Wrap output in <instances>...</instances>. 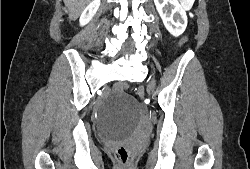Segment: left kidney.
<instances>
[{
	"label": "left kidney",
	"mask_w": 250,
	"mask_h": 169,
	"mask_svg": "<svg viewBox=\"0 0 250 169\" xmlns=\"http://www.w3.org/2000/svg\"><path fill=\"white\" fill-rule=\"evenodd\" d=\"M155 6L165 24V28L179 36L187 26V14L178 0H154Z\"/></svg>",
	"instance_id": "5707ae66"
}]
</instances>
